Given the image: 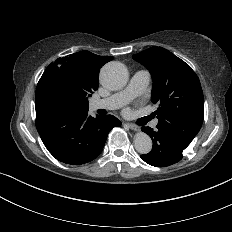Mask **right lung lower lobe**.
I'll list each match as a JSON object with an SVG mask.
<instances>
[{"mask_svg":"<svg viewBox=\"0 0 232 232\" xmlns=\"http://www.w3.org/2000/svg\"><path fill=\"white\" fill-rule=\"evenodd\" d=\"M36 128L48 151L59 161L79 165L102 151L110 130L121 126L113 115L88 116L87 110L63 106L57 101H35Z\"/></svg>","mask_w":232,"mask_h":232,"instance_id":"right-lung-lower-lobe-1","label":"right lung lower lobe"}]
</instances>
